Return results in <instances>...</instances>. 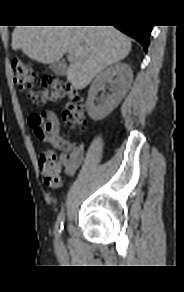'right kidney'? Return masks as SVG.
Instances as JSON below:
<instances>
[{
    "label": "right kidney",
    "instance_id": "1",
    "mask_svg": "<svg viewBox=\"0 0 184 292\" xmlns=\"http://www.w3.org/2000/svg\"><path fill=\"white\" fill-rule=\"evenodd\" d=\"M132 81L133 72L130 66L123 62L114 63L101 71L95 77L88 91L86 107L90 118L98 121L111 113L126 95ZM105 82L110 84V93L96 104V95L103 89Z\"/></svg>",
    "mask_w": 184,
    "mask_h": 292
}]
</instances>
